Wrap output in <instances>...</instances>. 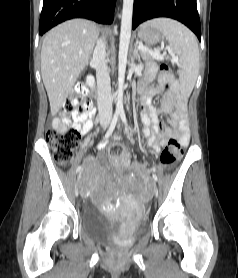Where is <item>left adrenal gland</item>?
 <instances>
[{"mask_svg":"<svg viewBox=\"0 0 238 278\" xmlns=\"http://www.w3.org/2000/svg\"><path fill=\"white\" fill-rule=\"evenodd\" d=\"M137 45H138V39L136 40V43H135L132 59L133 60L136 59V60H138L139 63H141V57H140V53H139Z\"/></svg>","mask_w":238,"mask_h":278,"instance_id":"a2214340","label":"left adrenal gland"}]
</instances>
